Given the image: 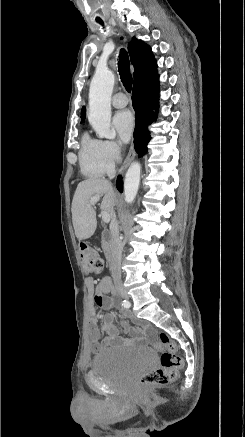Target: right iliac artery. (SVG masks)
<instances>
[{"label": "right iliac artery", "instance_id": "1", "mask_svg": "<svg viewBox=\"0 0 245 437\" xmlns=\"http://www.w3.org/2000/svg\"><path fill=\"white\" fill-rule=\"evenodd\" d=\"M122 306H124L125 308H129V307H130V303H129V301L124 300V301L122 302Z\"/></svg>", "mask_w": 245, "mask_h": 437}]
</instances>
